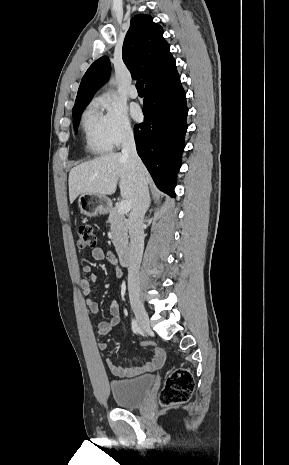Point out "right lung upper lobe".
Here are the masks:
<instances>
[{
	"instance_id": "right-lung-upper-lobe-1",
	"label": "right lung upper lobe",
	"mask_w": 289,
	"mask_h": 465,
	"mask_svg": "<svg viewBox=\"0 0 289 465\" xmlns=\"http://www.w3.org/2000/svg\"><path fill=\"white\" fill-rule=\"evenodd\" d=\"M163 37V29L150 15L137 14L131 19L122 57L133 78H142L145 87L167 82L178 76L176 62ZM109 59L96 60L86 71L76 102L90 100L109 74Z\"/></svg>"
}]
</instances>
